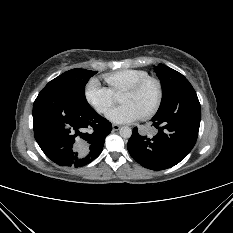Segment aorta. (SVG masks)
<instances>
[{"label": "aorta", "instance_id": "aorta-1", "mask_svg": "<svg viewBox=\"0 0 233 233\" xmlns=\"http://www.w3.org/2000/svg\"><path fill=\"white\" fill-rule=\"evenodd\" d=\"M132 135V129L130 127H122L120 129V136L123 138H130Z\"/></svg>", "mask_w": 233, "mask_h": 233}]
</instances>
